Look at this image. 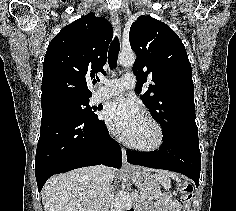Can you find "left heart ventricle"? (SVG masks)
Returning a JSON list of instances; mask_svg holds the SVG:
<instances>
[{
    "label": "left heart ventricle",
    "instance_id": "1",
    "mask_svg": "<svg viewBox=\"0 0 236 211\" xmlns=\"http://www.w3.org/2000/svg\"><path fill=\"white\" fill-rule=\"evenodd\" d=\"M126 137L137 144L149 145L155 141L156 132L153 126L142 118Z\"/></svg>",
    "mask_w": 236,
    "mask_h": 211
}]
</instances>
